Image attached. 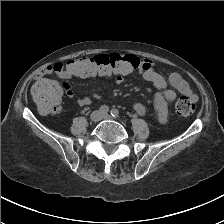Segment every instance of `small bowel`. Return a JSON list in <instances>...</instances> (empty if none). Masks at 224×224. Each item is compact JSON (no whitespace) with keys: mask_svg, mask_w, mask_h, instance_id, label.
I'll list each match as a JSON object with an SVG mask.
<instances>
[{"mask_svg":"<svg viewBox=\"0 0 224 224\" xmlns=\"http://www.w3.org/2000/svg\"><path fill=\"white\" fill-rule=\"evenodd\" d=\"M139 74L143 79L150 82L158 91L154 94V107L157 113L158 121L161 124H165L169 118L168 103L176 99L178 91L179 93L190 97L193 101L197 100V95L193 92L188 82L177 72H170L168 76V81L158 73L155 64L152 60L141 59L139 65ZM55 74L62 79L73 78V73L61 62H56L54 64L48 65L43 68L36 77L37 81H47L52 85L62 88L65 93L70 97L75 99V101L81 105L86 106L91 104L92 100L89 97H76L73 89L70 85L65 84L60 86V84L50 79L48 76ZM125 74H115L114 84L122 85L125 82ZM170 84L173 89L167 88V84ZM134 111L143 116L146 113V107L141 102H136L133 105Z\"/></svg>","mask_w":224,"mask_h":224,"instance_id":"c3829d8e","label":"small bowel"}]
</instances>
